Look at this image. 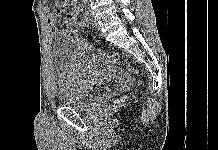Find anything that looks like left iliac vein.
Segmentation results:
<instances>
[{"mask_svg":"<svg viewBox=\"0 0 218 150\" xmlns=\"http://www.w3.org/2000/svg\"><path fill=\"white\" fill-rule=\"evenodd\" d=\"M86 20L87 22H89L90 24H92L93 26H97L98 23L97 21L94 19V16L92 15L91 11L90 10H87L86 12Z\"/></svg>","mask_w":218,"mask_h":150,"instance_id":"obj_1","label":"left iliac vein"}]
</instances>
